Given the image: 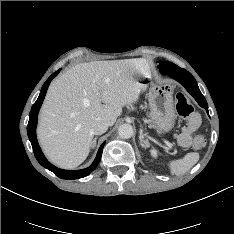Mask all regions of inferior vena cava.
<instances>
[{
	"label": "inferior vena cava",
	"mask_w": 234,
	"mask_h": 234,
	"mask_svg": "<svg viewBox=\"0 0 234 234\" xmlns=\"http://www.w3.org/2000/svg\"><path fill=\"white\" fill-rule=\"evenodd\" d=\"M108 122L102 119H96L91 126V132L94 135H101L105 133L108 129Z\"/></svg>",
	"instance_id": "602c4592"
}]
</instances>
